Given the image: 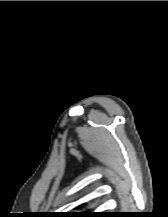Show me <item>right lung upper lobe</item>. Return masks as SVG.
Wrapping results in <instances>:
<instances>
[{
	"mask_svg": "<svg viewBox=\"0 0 168 217\" xmlns=\"http://www.w3.org/2000/svg\"><path fill=\"white\" fill-rule=\"evenodd\" d=\"M102 212H66L64 216L66 217H100Z\"/></svg>",
	"mask_w": 168,
	"mask_h": 217,
	"instance_id": "right-lung-upper-lobe-1",
	"label": "right lung upper lobe"
}]
</instances>
